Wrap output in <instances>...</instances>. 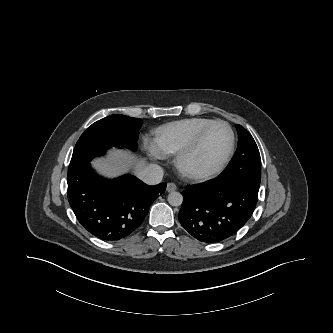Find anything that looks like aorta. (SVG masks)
Masks as SVG:
<instances>
[{"label":"aorta","instance_id":"aorta-1","mask_svg":"<svg viewBox=\"0 0 333 333\" xmlns=\"http://www.w3.org/2000/svg\"><path fill=\"white\" fill-rule=\"evenodd\" d=\"M168 202L172 206H180L183 202L182 194L179 192H171L168 195Z\"/></svg>","mask_w":333,"mask_h":333}]
</instances>
